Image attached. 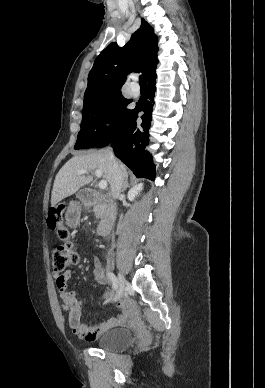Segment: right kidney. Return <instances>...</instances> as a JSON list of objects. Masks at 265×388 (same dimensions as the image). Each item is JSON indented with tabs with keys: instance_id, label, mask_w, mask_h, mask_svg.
I'll return each instance as SVG.
<instances>
[{
	"instance_id": "obj_1",
	"label": "right kidney",
	"mask_w": 265,
	"mask_h": 388,
	"mask_svg": "<svg viewBox=\"0 0 265 388\" xmlns=\"http://www.w3.org/2000/svg\"><path fill=\"white\" fill-rule=\"evenodd\" d=\"M143 190V184H138V186H134V188H131L128 192V200L130 202H134L136 196H138L139 192Z\"/></svg>"
}]
</instances>
